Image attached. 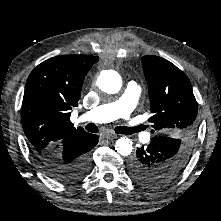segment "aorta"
Returning a JSON list of instances; mask_svg holds the SVG:
<instances>
[{"instance_id": "762f6f07", "label": "aorta", "mask_w": 221, "mask_h": 221, "mask_svg": "<svg viewBox=\"0 0 221 221\" xmlns=\"http://www.w3.org/2000/svg\"><path fill=\"white\" fill-rule=\"evenodd\" d=\"M121 85V77L114 70L102 71L97 79V86L108 94H116ZM115 150L122 156H128L133 150V142L129 138L121 137L115 143Z\"/></svg>"}]
</instances>
